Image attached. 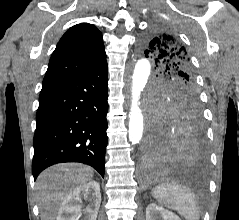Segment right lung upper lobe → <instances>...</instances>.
<instances>
[{
    "mask_svg": "<svg viewBox=\"0 0 239 220\" xmlns=\"http://www.w3.org/2000/svg\"><path fill=\"white\" fill-rule=\"evenodd\" d=\"M107 62L100 31L92 24L71 27L54 50L42 87L72 80Z\"/></svg>",
    "mask_w": 239,
    "mask_h": 220,
    "instance_id": "right-lung-upper-lobe-1",
    "label": "right lung upper lobe"
}]
</instances>
